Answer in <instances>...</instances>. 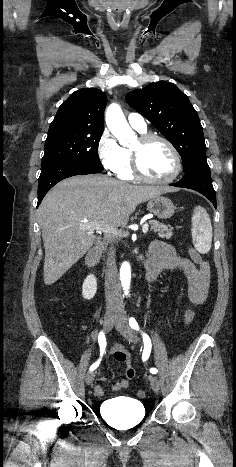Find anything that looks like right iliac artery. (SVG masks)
<instances>
[{
    "instance_id": "obj_1",
    "label": "right iliac artery",
    "mask_w": 236,
    "mask_h": 467,
    "mask_svg": "<svg viewBox=\"0 0 236 467\" xmlns=\"http://www.w3.org/2000/svg\"><path fill=\"white\" fill-rule=\"evenodd\" d=\"M98 343H99V346H100V358L98 361H96L94 364H92L89 368L90 371H93L95 370L99 364H100V361H101V358L105 352V348H106V338H105V334L103 331H101L98 335Z\"/></svg>"
}]
</instances>
